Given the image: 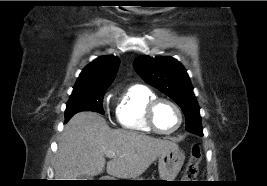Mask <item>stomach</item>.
Here are the masks:
<instances>
[{
	"label": "stomach",
	"instance_id": "stomach-1",
	"mask_svg": "<svg viewBox=\"0 0 267 186\" xmlns=\"http://www.w3.org/2000/svg\"><path fill=\"white\" fill-rule=\"evenodd\" d=\"M184 160L185 155L178 147L162 153L158 159L160 181H174L184 164Z\"/></svg>",
	"mask_w": 267,
	"mask_h": 186
}]
</instances>
